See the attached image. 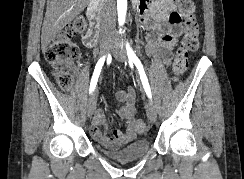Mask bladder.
Here are the masks:
<instances>
[{"instance_id":"1","label":"bladder","mask_w":244,"mask_h":179,"mask_svg":"<svg viewBox=\"0 0 244 179\" xmlns=\"http://www.w3.org/2000/svg\"><path fill=\"white\" fill-rule=\"evenodd\" d=\"M149 150V139H139L116 151L101 148L104 155L116 160H130L144 156Z\"/></svg>"}]
</instances>
